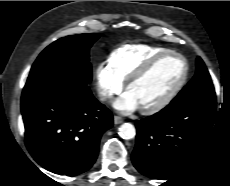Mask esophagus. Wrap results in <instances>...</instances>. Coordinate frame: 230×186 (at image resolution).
Masks as SVG:
<instances>
[{
	"instance_id": "obj_1",
	"label": "esophagus",
	"mask_w": 230,
	"mask_h": 186,
	"mask_svg": "<svg viewBox=\"0 0 230 186\" xmlns=\"http://www.w3.org/2000/svg\"><path fill=\"white\" fill-rule=\"evenodd\" d=\"M123 122V119L119 116H114V124H121Z\"/></svg>"
}]
</instances>
